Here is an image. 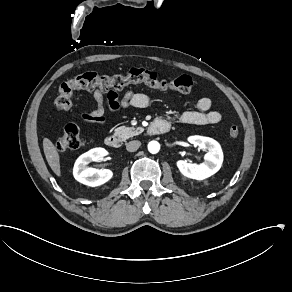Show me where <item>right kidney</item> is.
Listing matches in <instances>:
<instances>
[{"label":"right kidney","mask_w":292,"mask_h":292,"mask_svg":"<svg viewBox=\"0 0 292 292\" xmlns=\"http://www.w3.org/2000/svg\"><path fill=\"white\" fill-rule=\"evenodd\" d=\"M108 155V151L104 148H93L82 154L75 162L73 168L74 178L88 186H100L110 180L113 173L109 169H96L87 165L92 161H102L104 156Z\"/></svg>","instance_id":"right-kidney-1"}]
</instances>
